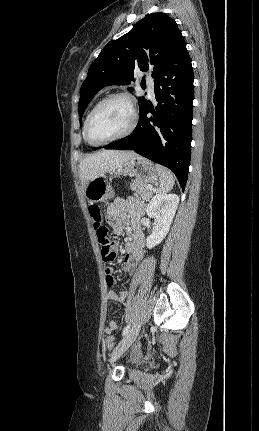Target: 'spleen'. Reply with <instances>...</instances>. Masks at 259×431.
I'll return each instance as SVG.
<instances>
[{
    "label": "spleen",
    "instance_id": "1",
    "mask_svg": "<svg viewBox=\"0 0 259 431\" xmlns=\"http://www.w3.org/2000/svg\"><path fill=\"white\" fill-rule=\"evenodd\" d=\"M155 167L158 171L159 179H160L159 191L162 193L169 192L175 183V178L173 173L162 165L157 164Z\"/></svg>",
    "mask_w": 259,
    "mask_h": 431
}]
</instances>
